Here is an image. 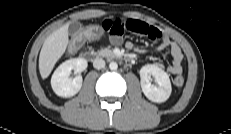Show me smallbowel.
<instances>
[{
    "label": "small bowel",
    "instance_id": "c3829d8e",
    "mask_svg": "<svg viewBox=\"0 0 231 134\" xmlns=\"http://www.w3.org/2000/svg\"><path fill=\"white\" fill-rule=\"evenodd\" d=\"M100 26L103 28L104 33L109 35V40L114 45L121 44L124 31H130L137 35L160 41L156 51L161 53L169 48L172 56V63L167 67L168 73L172 75L182 73L183 53L180 46L167 35H164L157 27L135 18L105 19Z\"/></svg>",
    "mask_w": 231,
    "mask_h": 134
}]
</instances>
